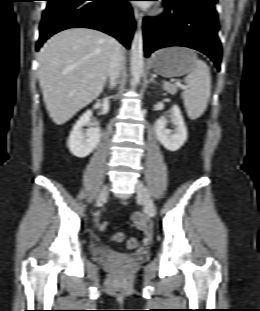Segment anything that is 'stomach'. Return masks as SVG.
<instances>
[{"label":"stomach","instance_id":"obj_1","mask_svg":"<svg viewBox=\"0 0 260 311\" xmlns=\"http://www.w3.org/2000/svg\"><path fill=\"white\" fill-rule=\"evenodd\" d=\"M197 59L193 50L185 47H168L154 53L149 66L163 77H178L191 72Z\"/></svg>","mask_w":260,"mask_h":311}]
</instances>
